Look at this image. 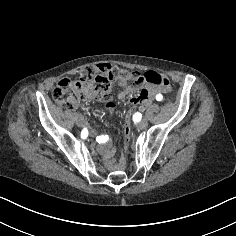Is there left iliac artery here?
<instances>
[{
	"label": "left iliac artery",
	"mask_w": 236,
	"mask_h": 236,
	"mask_svg": "<svg viewBox=\"0 0 236 236\" xmlns=\"http://www.w3.org/2000/svg\"><path fill=\"white\" fill-rule=\"evenodd\" d=\"M163 99V96L161 94L156 95V100L161 101Z\"/></svg>",
	"instance_id": "left-iliac-artery-1"
}]
</instances>
